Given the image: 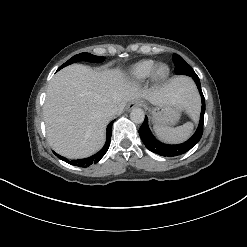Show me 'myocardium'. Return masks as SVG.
Here are the masks:
<instances>
[{
	"mask_svg": "<svg viewBox=\"0 0 247 247\" xmlns=\"http://www.w3.org/2000/svg\"><path fill=\"white\" fill-rule=\"evenodd\" d=\"M170 74V68L165 63H159L155 66L152 72V78L156 82H162L168 78Z\"/></svg>",
	"mask_w": 247,
	"mask_h": 247,
	"instance_id": "1",
	"label": "myocardium"
}]
</instances>
